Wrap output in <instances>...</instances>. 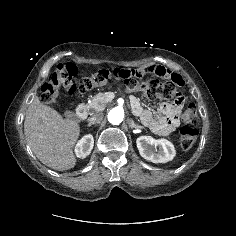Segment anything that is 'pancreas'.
<instances>
[{
    "label": "pancreas",
    "instance_id": "cf45deb5",
    "mask_svg": "<svg viewBox=\"0 0 236 236\" xmlns=\"http://www.w3.org/2000/svg\"><path fill=\"white\" fill-rule=\"evenodd\" d=\"M110 102L109 93H98L94 97H92L90 103L87 105L89 109H93L95 111L102 110L107 103Z\"/></svg>",
    "mask_w": 236,
    "mask_h": 236
}]
</instances>
